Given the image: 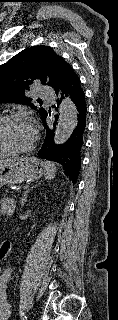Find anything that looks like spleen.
<instances>
[{"label": "spleen", "mask_w": 118, "mask_h": 320, "mask_svg": "<svg viewBox=\"0 0 118 320\" xmlns=\"http://www.w3.org/2000/svg\"><path fill=\"white\" fill-rule=\"evenodd\" d=\"M44 165H45V178L47 180H51V179L55 178V174L57 171L55 164L50 161H45Z\"/></svg>", "instance_id": "spleen-1"}]
</instances>
